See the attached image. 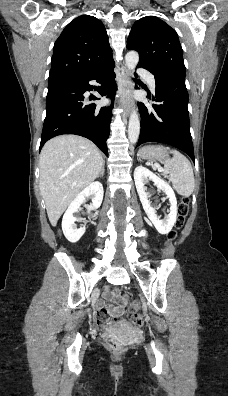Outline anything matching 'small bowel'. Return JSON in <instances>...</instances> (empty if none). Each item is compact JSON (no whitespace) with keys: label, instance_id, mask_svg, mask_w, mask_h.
<instances>
[{"label":"small bowel","instance_id":"small-bowel-1","mask_svg":"<svg viewBox=\"0 0 228 396\" xmlns=\"http://www.w3.org/2000/svg\"><path fill=\"white\" fill-rule=\"evenodd\" d=\"M125 304L126 299L124 297L107 290L105 292V300L97 302L99 312L103 315L102 317H99L97 321L102 324L104 322L105 315L107 314L115 316L123 314Z\"/></svg>","mask_w":228,"mask_h":396}]
</instances>
